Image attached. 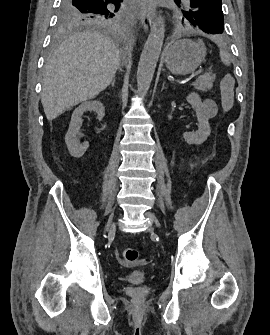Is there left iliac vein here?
<instances>
[{
  "label": "left iliac vein",
  "mask_w": 270,
  "mask_h": 335,
  "mask_svg": "<svg viewBox=\"0 0 270 335\" xmlns=\"http://www.w3.org/2000/svg\"><path fill=\"white\" fill-rule=\"evenodd\" d=\"M146 216H147L148 218H150L151 221H152L157 227H160V223H159V221L157 220V218H156L152 213L147 212V213H146Z\"/></svg>",
  "instance_id": "obj_1"
}]
</instances>
